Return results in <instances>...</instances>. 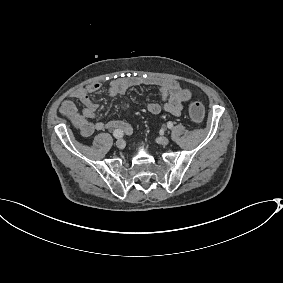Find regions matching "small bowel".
I'll use <instances>...</instances> for the list:
<instances>
[{
	"label": "small bowel",
	"instance_id": "small-bowel-1",
	"mask_svg": "<svg viewBox=\"0 0 283 283\" xmlns=\"http://www.w3.org/2000/svg\"><path fill=\"white\" fill-rule=\"evenodd\" d=\"M137 86H156L159 88L163 103H148L146 108L151 114H159L165 111L174 116H179L183 108V103L188 101L192 96L189 89L183 88L175 80L133 75H127L112 80L106 92L109 96L114 97L122 95L128 89ZM101 88V83L93 82L85 87L75 89L72 93V97L79 100L83 108L78 110L72 99H66L60 106L61 114L65 116L84 137H90L96 131L103 130H121L125 134H131L133 129L131 125L125 121L111 120L108 122H91L89 120L96 117L98 109V104L90 98V95L96 93ZM126 108H128V103L124 104V109Z\"/></svg>",
	"mask_w": 283,
	"mask_h": 283
}]
</instances>
